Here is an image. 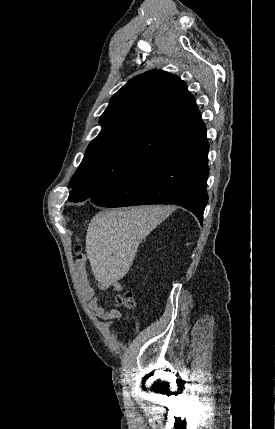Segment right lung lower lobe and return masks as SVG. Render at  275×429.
Masks as SVG:
<instances>
[{
	"mask_svg": "<svg viewBox=\"0 0 275 429\" xmlns=\"http://www.w3.org/2000/svg\"><path fill=\"white\" fill-rule=\"evenodd\" d=\"M209 143L206 129L149 156L119 184L90 201L103 207L176 204L203 220L208 201Z\"/></svg>",
	"mask_w": 275,
	"mask_h": 429,
	"instance_id": "obj_1",
	"label": "right lung lower lobe"
}]
</instances>
